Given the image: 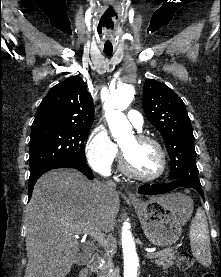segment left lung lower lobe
<instances>
[{"mask_svg":"<svg viewBox=\"0 0 221 277\" xmlns=\"http://www.w3.org/2000/svg\"><path fill=\"white\" fill-rule=\"evenodd\" d=\"M178 187L193 188L197 190L201 195V197L204 199V194L202 191V186L200 184V181H191L187 179H176V180H172L170 183H167V184H155V185L145 184L139 188L138 192L140 194L155 195V194H162V193L172 191Z\"/></svg>","mask_w":221,"mask_h":277,"instance_id":"1","label":"left lung lower lobe"}]
</instances>
